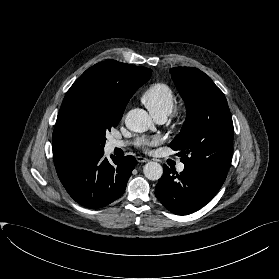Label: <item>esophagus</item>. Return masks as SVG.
I'll use <instances>...</instances> for the list:
<instances>
[{"instance_id": "obj_1", "label": "esophagus", "mask_w": 279, "mask_h": 279, "mask_svg": "<svg viewBox=\"0 0 279 279\" xmlns=\"http://www.w3.org/2000/svg\"><path fill=\"white\" fill-rule=\"evenodd\" d=\"M136 160H137V162H139V163H144V162H147V161H148L147 158L142 157V156L136 157Z\"/></svg>"}]
</instances>
